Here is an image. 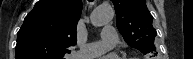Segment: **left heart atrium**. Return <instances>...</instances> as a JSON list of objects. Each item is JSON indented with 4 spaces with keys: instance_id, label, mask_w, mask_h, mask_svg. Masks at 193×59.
<instances>
[{
    "instance_id": "obj_1",
    "label": "left heart atrium",
    "mask_w": 193,
    "mask_h": 59,
    "mask_svg": "<svg viewBox=\"0 0 193 59\" xmlns=\"http://www.w3.org/2000/svg\"><path fill=\"white\" fill-rule=\"evenodd\" d=\"M100 59H117V58L113 55H106V56L101 57Z\"/></svg>"
}]
</instances>
